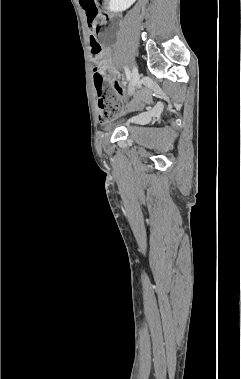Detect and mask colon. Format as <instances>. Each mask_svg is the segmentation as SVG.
<instances>
[{
  "label": "colon",
  "instance_id": "5ec220e1",
  "mask_svg": "<svg viewBox=\"0 0 241 379\" xmlns=\"http://www.w3.org/2000/svg\"><path fill=\"white\" fill-rule=\"evenodd\" d=\"M87 21L90 27V44L91 51L95 61L99 60L102 52L101 45L97 38V29L95 21L100 16L104 7V0H80ZM105 67L97 63L94 72H92L94 85L97 92V106L99 117L102 122H108L117 116L122 109V100L120 96L114 93L105 83Z\"/></svg>",
  "mask_w": 241,
  "mask_h": 379
}]
</instances>
